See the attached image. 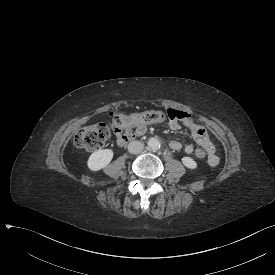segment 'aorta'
<instances>
[{
    "label": "aorta",
    "mask_w": 275,
    "mask_h": 275,
    "mask_svg": "<svg viewBox=\"0 0 275 275\" xmlns=\"http://www.w3.org/2000/svg\"><path fill=\"white\" fill-rule=\"evenodd\" d=\"M160 141L157 138H150L148 141V146L149 148H151L152 150H157L160 148Z\"/></svg>",
    "instance_id": "762f6f07"
}]
</instances>
